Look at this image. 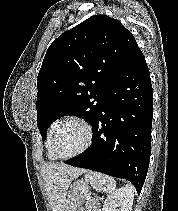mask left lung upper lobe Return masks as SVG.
<instances>
[{
  "label": "left lung upper lobe",
  "mask_w": 178,
  "mask_h": 211,
  "mask_svg": "<svg viewBox=\"0 0 178 211\" xmlns=\"http://www.w3.org/2000/svg\"><path fill=\"white\" fill-rule=\"evenodd\" d=\"M118 20L95 15L49 46L37 77V125L43 140L49 125L77 114L92 126L104 94L137 47Z\"/></svg>",
  "instance_id": "left-lung-upper-lobe-1"
}]
</instances>
